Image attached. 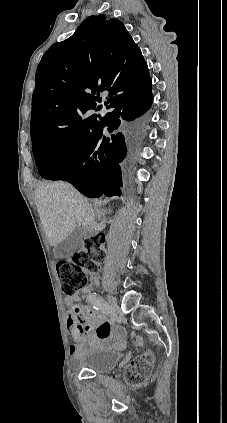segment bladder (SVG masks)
<instances>
[{
    "label": "bladder",
    "mask_w": 227,
    "mask_h": 423,
    "mask_svg": "<svg viewBox=\"0 0 227 423\" xmlns=\"http://www.w3.org/2000/svg\"><path fill=\"white\" fill-rule=\"evenodd\" d=\"M121 361V354L115 350H95L77 359V366L91 370L97 375H107L115 370Z\"/></svg>",
    "instance_id": "obj_1"
}]
</instances>
